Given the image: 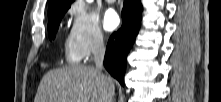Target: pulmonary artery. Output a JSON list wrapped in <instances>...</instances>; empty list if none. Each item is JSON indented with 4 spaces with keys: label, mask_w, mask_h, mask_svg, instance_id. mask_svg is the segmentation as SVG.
Wrapping results in <instances>:
<instances>
[{
    "label": "pulmonary artery",
    "mask_w": 221,
    "mask_h": 102,
    "mask_svg": "<svg viewBox=\"0 0 221 102\" xmlns=\"http://www.w3.org/2000/svg\"><path fill=\"white\" fill-rule=\"evenodd\" d=\"M106 2L113 3V2H115V0H106Z\"/></svg>",
    "instance_id": "e3ab8cb5"
}]
</instances>
